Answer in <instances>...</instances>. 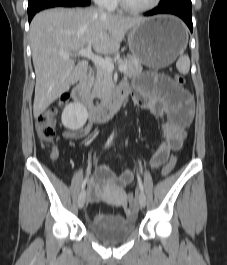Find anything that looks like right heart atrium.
<instances>
[{"label": "right heart atrium", "mask_w": 227, "mask_h": 265, "mask_svg": "<svg viewBox=\"0 0 227 265\" xmlns=\"http://www.w3.org/2000/svg\"><path fill=\"white\" fill-rule=\"evenodd\" d=\"M99 6L110 9L113 6L114 0H93Z\"/></svg>", "instance_id": "right-heart-atrium-1"}]
</instances>
